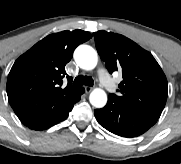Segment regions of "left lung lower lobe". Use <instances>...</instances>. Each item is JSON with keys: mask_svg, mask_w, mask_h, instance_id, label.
<instances>
[{"mask_svg": "<svg viewBox=\"0 0 181 164\" xmlns=\"http://www.w3.org/2000/svg\"><path fill=\"white\" fill-rule=\"evenodd\" d=\"M94 115L102 127L125 138L143 134L158 120V117L122 104L110 96L106 106L102 109H96Z\"/></svg>", "mask_w": 181, "mask_h": 164, "instance_id": "obj_1", "label": "left lung lower lobe"}]
</instances>
